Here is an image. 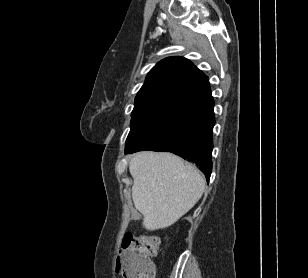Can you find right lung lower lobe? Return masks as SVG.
Masks as SVG:
<instances>
[{
	"mask_svg": "<svg viewBox=\"0 0 308 278\" xmlns=\"http://www.w3.org/2000/svg\"><path fill=\"white\" fill-rule=\"evenodd\" d=\"M214 100L210 95L176 115L156 134L126 152L141 150L168 151L195 163L209 181L213 149Z\"/></svg>",
	"mask_w": 308,
	"mask_h": 278,
	"instance_id": "1",
	"label": "right lung lower lobe"
}]
</instances>
